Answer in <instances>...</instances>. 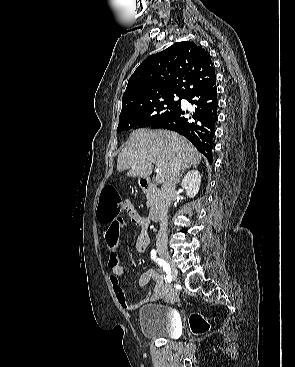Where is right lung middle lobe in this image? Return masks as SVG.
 Listing matches in <instances>:
<instances>
[{
    "instance_id": "1",
    "label": "right lung middle lobe",
    "mask_w": 295,
    "mask_h": 367,
    "mask_svg": "<svg viewBox=\"0 0 295 367\" xmlns=\"http://www.w3.org/2000/svg\"><path fill=\"white\" fill-rule=\"evenodd\" d=\"M164 94L151 99L138 100L128 104L119 116L117 133L136 128L150 127L160 119L172 114L181 107L182 95Z\"/></svg>"
}]
</instances>
